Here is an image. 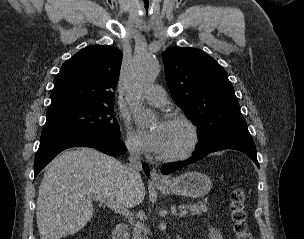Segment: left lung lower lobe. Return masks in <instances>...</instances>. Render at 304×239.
Returning <instances> with one entry per match:
<instances>
[{
	"mask_svg": "<svg viewBox=\"0 0 304 239\" xmlns=\"http://www.w3.org/2000/svg\"><path fill=\"white\" fill-rule=\"evenodd\" d=\"M223 149H234V150H238V151L245 153L247 156H249L254 161V163L259 168V163L257 161V156H256V147H255L253 139L252 138L232 137V138H225V139L219 140V141L209 144V145L201 146L200 148L197 149V151L194 153V155L192 157H190L189 159H187L185 161L164 165L162 167V173L163 174L172 173L175 170H178L183 166H186L188 164H191V163L201 159L202 157H204L205 155H207L211 152H215V151H219V150H223Z\"/></svg>",
	"mask_w": 304,
	"mask_h": 239,
	"instance_id": "obj_1",
	"label": "left lung lower lobe"
}]
</instances>
